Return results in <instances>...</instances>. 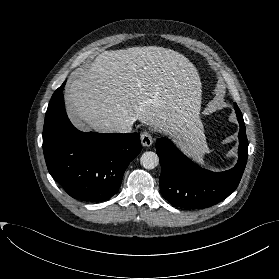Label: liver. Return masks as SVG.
Masks as SVG:
<instances>
[{
	"mask_svg": "<svg viewBox=\"0 0 279 279\" xmlns=\"http://www.w3.org/2000/svg\"><path fill=\"white\" fill-rule=\"evenodd\" d=\"M201 81L177 51L143 46L104 51L65 87L68 115L86 131L116 133L141 123L173 137L197 155L207 151L202 124Z\"/></svg>",
	"mask_w": 279,
	"mask_h": 279,
	"instance_id": "liver-1",
	"label": "liver"
}]
</instances>
